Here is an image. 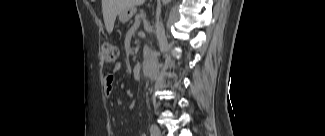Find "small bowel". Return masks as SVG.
I'll return each instance as SVG.
<instances>
[{"label":"small bowel","mask_w":325,"mask_h":136,"mask_svg":"<svg viewBox=\"0 0 325 136\" xmlns=\"http://www.w3.org/2000/svg\"><path fill=\"white\" fill-rule=\"evenodd\" d=\"M120 69V66L117 65L115 67V70L118 71ZM121 89H125V84H120ZM113 88H114V77L113 75H106L104 77V86H103V93L106 98H110L113 94Z\"/></svg>","instance_id":"small-bowel-1"}]
</instances>
